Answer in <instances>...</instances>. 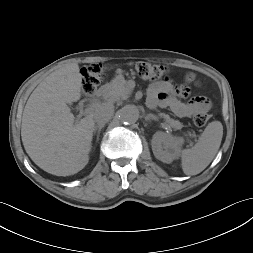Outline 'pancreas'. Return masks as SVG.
Segmentation results:
<instances>
[{"instance_id":"obj_1","label":"pancreas","mask_w":253,"mask_h":253,"mask_svg":"<svg viewBox=\"0 0 253 253\" xmlns=\"http://www.w3.org/2000/svg\"><path fill=\"white\" fill-rule=\"evenodd\" d=\"M104 89L105 90L103 97L110 102L124 100L128 98L132 92L124 79H116L105 85ZM158 116L160 118H163L165 121V125L169 127H172L176 130H179L183 127L180 121L170 118V116L167 114L159 113Z\"/></svg>"}]
</instances>
